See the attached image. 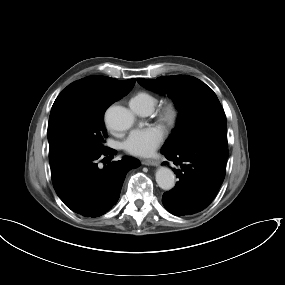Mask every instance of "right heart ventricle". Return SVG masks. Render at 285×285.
<instances>
[{
    "label": "right heart ventricle",
    "mask_w": 285,
    "mask_h": 285,
    "mask_svg": "<svg viewBox=\"0 0 285 285\" xmlns=\"http://www.w3.org/2000/svg\"><path fill=\"white\" fill-rule=\"evenodd\" d=\"M130 102L135 103L137 106H147L153 109L157 100L154 96L150 95L146 92H139L137 93Z\"/></svg>",
    "instance_id": "right-heart-ventricle-1"
}]
</instances>
